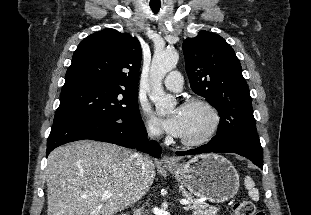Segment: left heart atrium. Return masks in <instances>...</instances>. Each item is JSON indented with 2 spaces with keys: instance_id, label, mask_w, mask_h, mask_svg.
Returning <instances> with one entry per match:
<instances>
[{
  "instance_id": "39dd6f15",
  "label": "left heart atrium",
  "mask_w": 311,
  "mask_h": 215,
  "mask_svg": "<svg viewBox=\"0 0 311 215\" xmlns=\"http://www.w3.org/2000/svg\"><path fill=\"white\" fill-rule=\"evenodd\" d=\"M160 122L166 132L173 136L181 137L184 130V116L180 108L173 114L161 118Z\"/></svg>"
}]
</instances>
